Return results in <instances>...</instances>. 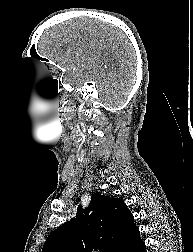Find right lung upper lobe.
<instances>
[{"mask_svg": "<svg viewBox=\"0 0 193 252\" xmlns=\"http://www.w3.org/2000/svg\"><path fill=\"white\" fill-rule=\"evenodd\" d=\"M137 230L122 199L96 192L87 209L79 205L76 217L47 237L42 252H118Z\"/></svg>", "mask_w": 193, "mask_h": 252, "instance_id": "1", "label": "right lung upper lobe"}]
</instances>
